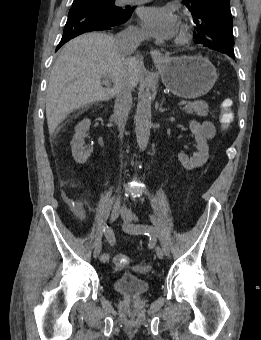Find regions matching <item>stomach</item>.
Masks as SVG:
<instances>
[{
    "label": "stomach",
    "mask_w": 261,
    "mask_h": 340,
    "mask_svg": "<svg viewBox=\"0 0 261 340\" xmlns=\"http://www.w3.org/2000/svg\"><path fill=\"white\" fill-rule=\"evenodd\" d=\"M163 84L174 95L195 99L206 95L217 80L214 65L204 57L181 56L155 62Z\"/></svg>",
    "instance_id": "1"
}]
</instances>
